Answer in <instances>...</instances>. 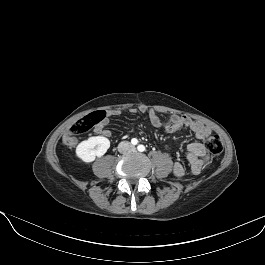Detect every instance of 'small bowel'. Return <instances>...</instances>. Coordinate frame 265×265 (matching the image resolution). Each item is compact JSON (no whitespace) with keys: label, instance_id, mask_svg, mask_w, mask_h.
<instances>
[{"label":"small bowel","instance_id":"c3829d8e","mask_svg":"<svg viewBox=\"0 0 265 265\" xmlns=\"http://www.w3.org/2000/svg\"><path fill=\"white\" fill-rule=\"evenodd\" d=\"M137 111L138 109L135 108L130 110L131 113H136ZM139 111L145 112L146 107L141 106ZM119 114L120 111L116 109L107 111L105 118L96 125L94 130L95 133L106 138L111 137V132L106 128V126L109 123V118ZM148 114L154 126L164 127L167 132L173 133L182 128H187L194 133L196 139L199 141L188 145L186 155L191 173L195 175L199 174L206 167L208 162L206 149L200 141L204 140L211 134L210 128L205 126L200 121L193 120L185 115H174L168 120L162 121L157 116L155 111L149 110ZM173 173L177 177H182L185 174V168L183 164L180 162H175L173 165Z\"/></svg>","mask_w":265,"mask_h":265}]
</instances>
